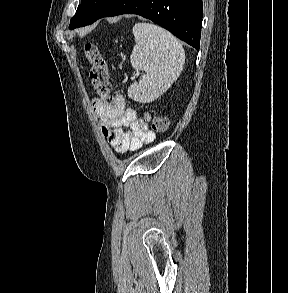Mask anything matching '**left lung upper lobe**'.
Listing matches in <instances>:
<instances>
[{
	"label": "left lung upper lobe",
	"mask_w": 288,
	"mask_h": 293,
	"mask_svg": "<svg viewBox=\"0 0 288 293\" xmlns=\"http://www.w3.org/2000/svg\"><path fill=\"white\" fill-rule=\"evenodd\" d=\"M116 0H82L75 15L72 17L69 29H74L92 24L115 2Z\"/></svg>",
	"instance_id": "1"
}]
</instances>
